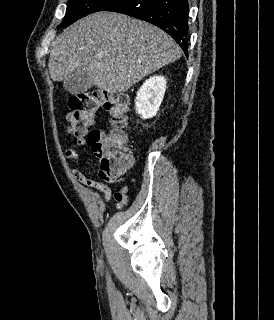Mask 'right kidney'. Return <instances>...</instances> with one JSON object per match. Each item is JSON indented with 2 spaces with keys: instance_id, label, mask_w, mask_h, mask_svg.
<instances>
[{
  "instance_id": "obj_1",
  "label": "right kidney",
  "mask_w": 274,
  "mask_h": 320,
  "mask_svg": "<svg viewBox=\"0 0 274 320\" xmlns=\"http://www.w3.org/2000/svg\"><path fill=\"white\" fill-rule=\"evenodd\" d=\"M166 84L164 76H152L142 84L135 100L136 114H139L142 120H149L158 114L166 92Z\"/></svg>"
}]
</instances>
